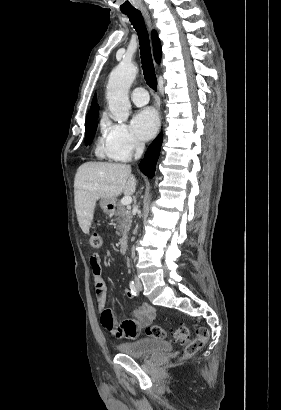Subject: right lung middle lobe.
I'll return each mask as SVG.
<instances>
[{
	"mask_svg": "<svg viewBox=\"0 0 281 410\" xmlns=\"http://www.w3.org/2000/svg\"><path fill=\"white\" fill-rule=\"evenodd\" d=\"M97 116L86 119V135L85 143L86 145L90 144L94 138L97 129Z\"/></svg>",
	"mask_w": 281,
	"mask_h": 410,
	"instance_id": "obj_1",
	"label": "right lung middle lobe"
}]
</instances>
